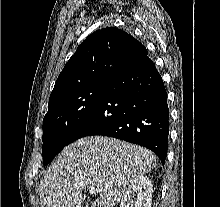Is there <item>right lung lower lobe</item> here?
<instances>
[{
    "mask_svg": "<svg viewBox=\"0 0 220 207\" xmlns=\"http://www.w3.org/2000/svg\"><path fill=\"white\" fill-rule=\"evenodd\" d=\"M168 134L164 83L154 62L145 56L108 80L99 102L73 132L70 143L91 135L114 137L152 150L164 163Z\"/></svg>",
    "mask_w": 220,
    "mask_h": 207,
    "instance_id": "98d812e1",
    "label": "right lung lower lobe"
}]
</instances>
